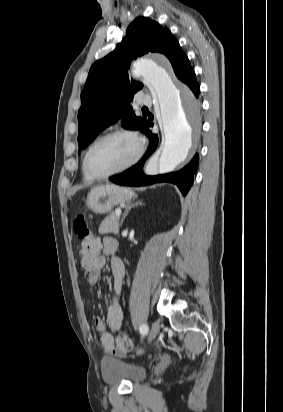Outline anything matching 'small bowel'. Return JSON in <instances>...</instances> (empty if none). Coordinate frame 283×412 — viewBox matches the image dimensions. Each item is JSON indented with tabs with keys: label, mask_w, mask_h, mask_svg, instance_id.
Segmentation results:
<instances>
[{
	"label": "small bowel",
	"mask_w": 283,
	"mask_h": 412,
	"mask_svg": "<svg viewBox=\"0 0 283 412\" xmlns=\"http://www.w3.org/2000/svg\"><path fill=\"white\" fill-rule=\"evenodd\" d=\"M112 247H116L114 251L112 250ZM116 249L117 242L114 239L104 238L102 242L98 240L97 256L90 263L81 260V267L84 271V276L88 284L96 285L99 281L101 270L105 264V259L100 255V251L102 250L104 254L112 256L110 260V269L113 279V299L107 309L106 322H104L101 318H96L94 321V326L99 334V341L105 354L122 356L123 353L115 350L113 344V334L121 328L124 317L118 297L122 290L125 270L122 261L113 256Z\"/></svg>",
	"instance_id": "small-bowel-1"
}]
</instances>
